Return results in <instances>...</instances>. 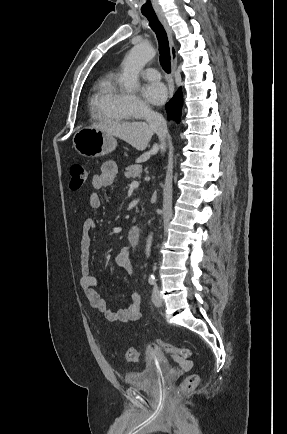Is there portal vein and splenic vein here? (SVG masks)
<instances>
[{
    "mask_svg": "<svg viewBox=\"0 0 287 434\" xmlns=\"http://www.w3.org/2000/svg\"><path fill=\"white\" fill-rule=\"evenodd\" d=\"M139 186V182L138 181H133L130 185L131 188H137Z\"/></svg>",
    "mask_w": 287,
    "mask_h": 434,
    "instance_id": "obj_1",
    "label": "portal vein and splenic vein"
}]
</instances>
